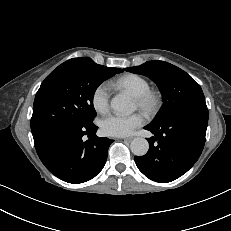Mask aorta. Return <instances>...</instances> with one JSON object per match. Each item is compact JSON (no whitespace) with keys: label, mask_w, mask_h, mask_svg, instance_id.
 Here are the masks:
<instances>
[{"label":"aorta","mask_w":231,"mask_h":231,"mask_svg":"<svg viewBox=\"0 0 231 231\" xmlns=\"http://www.w3.org/2000/svg\"><path fill=\"white\" fill-rule=\"evenodd\" d=\"M111 108L117 112L131 114L134 111L133 105L128 97L118 94L111 100ZM131 151L136 156H143L149 150V143L145 138H134L130 145Z\"/></svg>","instance_id":"1"}]
</instances>
